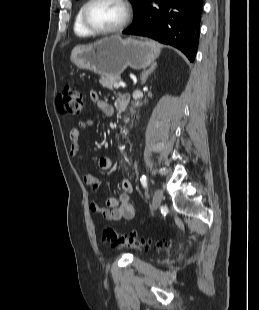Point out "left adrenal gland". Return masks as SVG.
<instances>
[{"mask_svg": "<svg viewBox=\"0 0 259 310\" xmlns=\"http://www.w3.org/2000/svg\"><path fill=\"white\" fill-rule=\"evenodd\" d=\"M156 67H157V64H156V63H153L149 69L144 70V71L141 73V77H140L141 85H144V84L146 83L148 76L151 75V73L154 72V70L156 69Z\"/></svg>", "mask_w": 259, "mask_h": 310, "instance_id": "left-adrenal-gland-1", "label": "left adrenal gland"}]
</instances>
